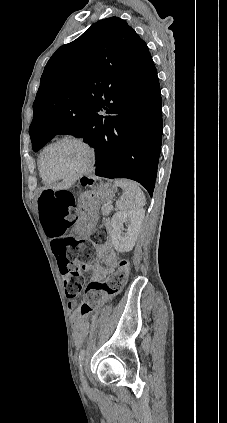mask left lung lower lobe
Masks as SVG:
<instances>
[{"label":"left lung lower lobe","mask_w":227,"mask_h":423,"mask_svg":"<svg viewBox=\"0 0 227 423\" xmlns=\"http://www.w3.org/2000/svg\"><path fill=\"white\" fill-rule=\"evenodd\" d=\"M84 141L96 150V175L139 182L152 197L162 143L161 93L157 73L134 111L106 112Z\"/></svg>","instance_id":"0a47b994"}]
</instances>
